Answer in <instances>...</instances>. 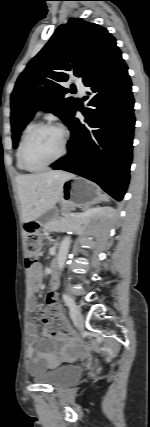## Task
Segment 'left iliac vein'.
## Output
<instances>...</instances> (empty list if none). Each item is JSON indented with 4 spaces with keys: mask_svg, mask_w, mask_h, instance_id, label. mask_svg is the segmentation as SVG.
I'll return each instance as SVG.
<instances>
[{
    "mask_svg": "<svg viewBox=\"0 0 150 427\" xmlns=\"http://www.w3.org/2000/svg\"><path fill=\"white\" fill-rule=\"evenodd\" d=\"M75 320H76L77 326L80 329H82L83 326H84V317H83V315H82V313H81V311H80L79 308H77V312H76V315H75Z\"/></svg>",
    "mask_w": 150,
    "mask_h": 427,
    "instance_id": "4c4485c4",
    "label": "left iliac vein"
}]
</instances>
